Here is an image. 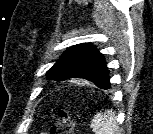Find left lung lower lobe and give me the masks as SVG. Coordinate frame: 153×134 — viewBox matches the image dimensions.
Returning a JSON list of instances; mask_svg holds the SVG:
<instances>
[{
	"label": "left lung lower lobe",
	"instance_id": "left-lung-lower-lobe-1",
	"mask_svg": "<svg viewBox=\"0 0 153 134\" xmlns=\"http://www.w3.org/2000/svg\"><path fill=\"white\" fill-rule=\"evenodd\" d=\"M101 89H109V86L101 87Z\"/></svg>",
	"mask_w": 153,
	"mask_h": 134
}]
</instances>
